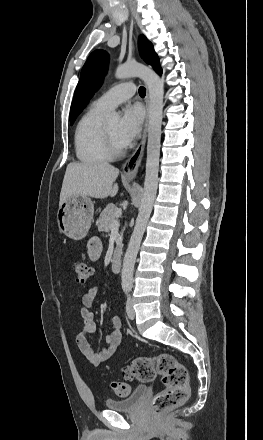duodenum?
Listing matches in <instances>:
<instances>
[{
    "label": "duodenum",
    "mask_w": 263,
    "mask_h": 440,
    "mask_svg": "<svg viewBox=\"0 0 263 440\" xmlns=\"http://www.w3.org/2000/svg\"><path fill=\"white\" fill-rule=\"evenodd\" d=\"M122 266V259L119 254H115L111 260V268L113 272H119Z\"/></svg>",
    "instance_id": "duodenum-1"
}]
</instances>
